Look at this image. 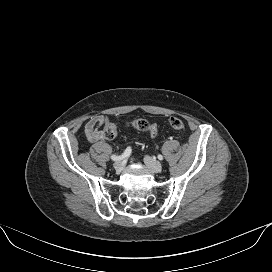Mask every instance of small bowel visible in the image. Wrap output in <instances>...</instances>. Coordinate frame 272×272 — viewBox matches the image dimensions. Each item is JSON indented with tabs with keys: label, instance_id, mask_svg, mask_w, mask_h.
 I'll return each mask as SVG.
<instances>
[{
	"label": "small bowel",
	"instance_id": "c3829d8e",
	"mask_svg": "<svg viewBox=\"0 0 272 272\" xmlns=\"http://www.w3.org/2000/svg\"><path fill=\"white\" fill-rule=\"evenodd\" d=\"M110 119L104 115H95L86 123L84 131L85 135L91 143H97L105 140L104 130L102 126L109 125Z\"/></svg>",
	"mask_w": 272,
	"mask_h": 272
}]
</instances>
